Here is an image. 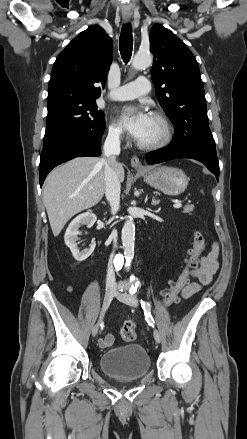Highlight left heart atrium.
Wrapping results in <instances>:
<instances>
[{"mask_svg": "<svg viewBox=\"0 0 247 439\" xmlns=\"http://www.w3.org/2000/svg\"><path fill=\"white\" fill-rule=\"evenodd\" d=\"M151 116L141 107H127L122 111L121 121L128 133L137 140L145 134Z\"/></svg>", "mask_w": 247, "mask_h": 439, "instance_id": "1", "label": "left heart atrium"}]
</instances>
